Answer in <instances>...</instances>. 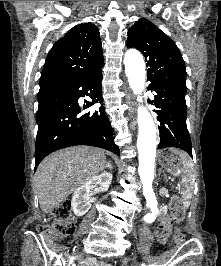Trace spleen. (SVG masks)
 I'll use <instances>...</instances> for the list:
<instances>
[{"instance_id":"spleen-1","label":"spleen","mask_w":221,"mask_h":266,"mask_svg":"<svg viewBox=\"0 0 221 266\" xmlns=\"http://www.w3.org/2000/svg\"><path fill=\"white\" fill-rule=\"evenodd\" d=\"M174 151L179 154V156L182 158L184 164L187 167V170L185 172V175L182 177V197H183V204L184 206L188 207L190 204V199L192 197V190L194 186V175L192 174L193 170V163L190 157L182 151H178L174 149Z\"/></svg>"}]
</instances>
